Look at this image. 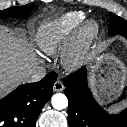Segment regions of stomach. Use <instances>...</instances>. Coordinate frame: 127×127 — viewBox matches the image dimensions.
I'll use <instances>...</instances> for the list:
<instances>
[{
    "instance_id": "stomach-1",
    "label": "stomach",
    "mask_w": 127,
    "mask_h": 127,
    "mask_svg": "<svg viewBox=\"0 0 127 127\" xmlns=\"http://www.w3.org/2000/svg\"><path fill=\"white\" fill-rule=\"evenodd\" d=\"M90 77L92 88L103 102L117 99L127 83V67L110 54L93 52Z\"/></svg>"
}]
</instances>
